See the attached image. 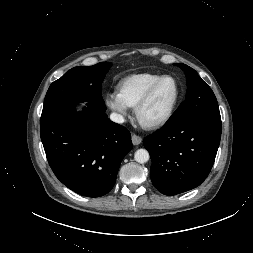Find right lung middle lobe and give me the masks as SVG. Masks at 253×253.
Masks as SVG:
<instances>
[{
    "mask_svg": "<svg viewBox=\"0 0 253 253\" xmlns=\"http://www.w3.org/2000/svg\"><path fill=\"white\" fill-rule=\"evenodd\" d=\"M109 62H101L88 67H74L60 79L54 81L45 96L42 115H46L63 105L86 102L103 103L101 83L111 67Z\"/></svg>",
    "mask_w": 253,
    "mask_h": 253,
    "instance_id": "1",
    "label": "right lung middle lobe"
}]
</instances>
